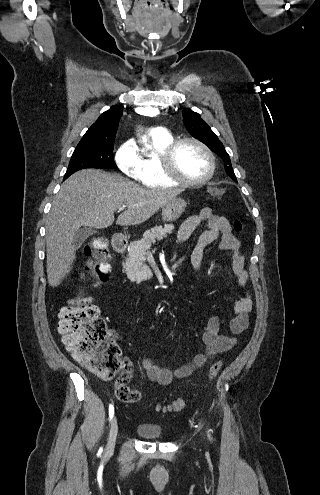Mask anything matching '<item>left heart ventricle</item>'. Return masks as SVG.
Segmentation results:
<instances>
[{"instance_id": "obj_1", "label": "left heart ventricle", "mask_w": 320, "mask_h": 495, "mask_svg": "<svg viewBox=\"0 0 320 495\" xmlns=\"http://www.w3.org/2000/svg\"><path fill=\"white\" fill-rule=\"evenodd\" d=\"M175 162L178 172L186 179H200L209 170L208 158L193 143H185L178 149Z\"/></svg>"}]
</instances>
